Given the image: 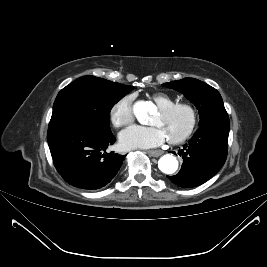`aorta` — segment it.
<instances>
[{
  "instance_id": "obj_1",
  "label": "aorta",
  "mask_w": 267,
  "mask_h": 267,
  "mask_svg": "<svg viewBox=\"0 0 267 267\" xmlns=\"http://www.w3.org/2000/svg\"><path fill=\"white\" fill-rule=\"evenodd\" d=\"M150 103L137 101L133 106V113L140 123H145L149 116ZM158 168L165 174H173L178 168V160L172 154L163 155L158 161Z\"/></svg>"
}]
</instances>
